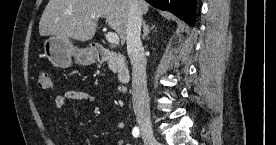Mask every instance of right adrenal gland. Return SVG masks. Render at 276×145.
I'll list each match as a JSON object with an SVG mask.
<instances>
[{"instance_id": "obj_1", "label": "right adrenal gland", "mask_w": 276, "mask_h": 145, "mask_svg": "<svg viewBox=\"0 0 276 145\" xmlns=\"http://www.w3.org/2000/svg\"><path fill=\"white\" fill-rule=\"evenodd\" d=\"M155 28V25L152 26L151 28H149V26L146 24L145 21H143V36L142 38L145 39L148 34L150 33L151 30H153Z\"/></svg>"}]
</instances>
